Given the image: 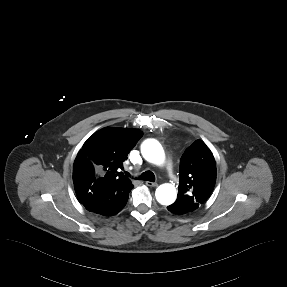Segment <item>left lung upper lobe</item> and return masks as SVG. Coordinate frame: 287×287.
<instances>
[{
	"label": "left lung upper lobe",
	"instance_id": "1",
	"mask_svg": "<svg viewBox=\"0 0 287 287\" xmlns=\"http://www.w3.org/2000/svg\"><path fill=\"white\" fill-rule=\"evenodd\" d=\"M215 182L214 156L203 141L197 140L181 157L179 193L174 204L186 213L196 210L210 196Z\"/></svg>",
	"mask_w": 287,
	"mask_h": 287
}]
</instances>
